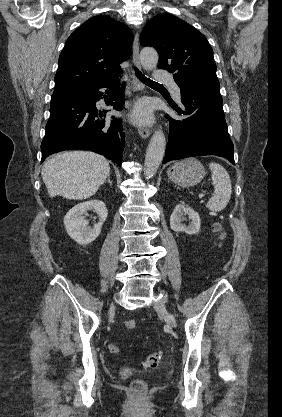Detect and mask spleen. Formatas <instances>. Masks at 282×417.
Instances as JSON below:
<instances>
[{
    "instance_id": "1",
    "label": "spleen",
    "mask_w": 282,
    "mask_h": 417,
    "mask_svg": "<svg viewBox=\"0 0 282 417\" xmlns=\"http://www.w3.org/2000/svg\"><path fill=\"white\" fill-rule=\"evenodd\" d=\"M211 170L212 184H214V194L207 202V209L212 213H219L227 206L231 192L232 184L231 178L224 166L217 164V162H209Z\"/></svg>"
}]
</instances>
